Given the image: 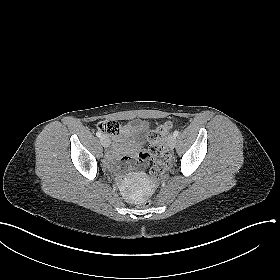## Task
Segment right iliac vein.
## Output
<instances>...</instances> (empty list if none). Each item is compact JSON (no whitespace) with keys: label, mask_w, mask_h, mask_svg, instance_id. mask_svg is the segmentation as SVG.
I'll return each instance as SVG.
<instances>
[{"label":"right iliac vein","mask_w":280,"mask_h":280,"mask_svg":"<svg viewBox=\"0 0 280 280\" xmlns=\"http://www.w3.org/2000/svg\"><path fill=\"white\" fill-rule=\"evenodd\" d=\"M101 143H102V145H103L105 148H108L109 145H110V140H109V138H108L106 135H103V136L101 137Z\"/></svg>","instance_id":"obj_1"}]
</instances>
